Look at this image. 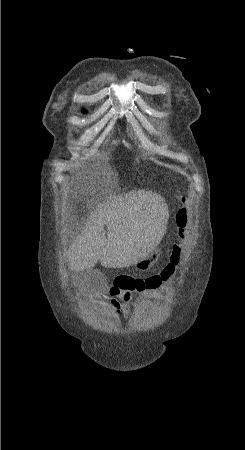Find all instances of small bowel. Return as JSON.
<instances>
[{"instance_id":"small-bowel-1","label":"small bowel","mask_w":245,"mask_h":450,"mask_svg":"<svg viewBox=\"0 0 245 450\" xmlns=\"http://www.w3.org/2000/svg\"><path fill=\"white\" fill-rule=\"evenodd\" d=\"M173 268L167 267L160 274L151 275L145 279L144 287L138 292V297L127 290L112 287L109 296L99 295L92 297L95 305H108L119 317L128 318L134 310L145 305L143 298L152 295L161 285L162 280L172 276ZM126 277V276H122Z\"/></svg>"}]
</instances>
